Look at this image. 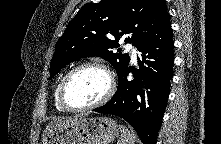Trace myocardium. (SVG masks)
I'll return each instance as SVG.
<instances>
[{
    "label": "myocardium",
    "instance_id": "obj_1",
    "mask_svg": "<svg viewBox=\"0 0 221 144\" xmlns=\"http://www.w3.org/2000/svg\"><path fill=\"white\" fill-rule=\"evenodd\" d=\"M84 68H97L99 70H101L102 72L105 73V75L107 76L108 79V88L106 93L96 102L86 105V106H80V107H76V106H72L70 105L67 100H66V96H65V91H66V87L68 82L70 81V79L80 70L84 69ZM115 91V79L113 77L112 72L109 70V68L104 65L103 63L97 62V61H88V62H83L79 65H77L76 67H74L73 69H71L61 80L60 85H59V90H58V101L60 106L68 112H82V111H87V110H91L97 107H100L102 105H104L105 103H107L111 97L113 96Z\"/></svg>",
    "mask_w": 221,
    "mask_h": 144
}]
</instances>
